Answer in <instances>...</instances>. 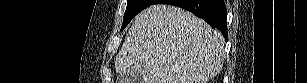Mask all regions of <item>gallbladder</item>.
Returning a JSON list of instances; mask_svg holds the SVG:
<instances>
[{
    "label": "gallbladder",
    "mask_w": 307,
    "mask_h": 83,
    "mask_svg": "<svg viewBox=\"0 0 307 83\" xmlns=\"http://www.w3.org/2000/svg\"><path fill=\"white\" fill-rule=\"evenodd\" d=\"M142 77L138 74H133L128 76L126 79L123 80L124 83H142Z\"/></svg>",
    "instance_id": "bac80fb5"
}]
</instances>
